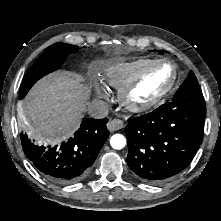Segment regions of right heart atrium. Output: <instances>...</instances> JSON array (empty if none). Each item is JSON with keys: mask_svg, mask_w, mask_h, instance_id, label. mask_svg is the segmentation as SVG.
I'll return each instance as SVG.
<instances>
[{"mask_svg": "<svg viewBox=\"0 0 221 221\" xmlns=\"http://www.w3.org/2000/svg\"><path fill=\"white\" fill-rule=\"evenodd\" d=\"M93 89H94V92L95 94L99 97V98H106L107 97V93H106V90L105 88L99 84V83H93Z\"/></svg>", "mask_w": 221, "mask_h": 221, "instance_id": "1", "label": "right heart atrium"}]
</instances>
